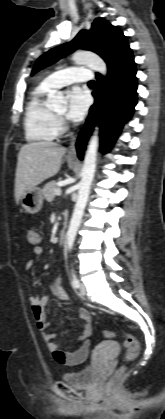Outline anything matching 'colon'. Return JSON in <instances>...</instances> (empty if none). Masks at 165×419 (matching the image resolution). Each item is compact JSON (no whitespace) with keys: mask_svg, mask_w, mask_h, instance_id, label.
Here are the masks:
<instances>
[{"mask_svg":"<svg viewBox=\"0 0 165 419\" xmlns=\"http://www.w3.org/2000/svg\"><path fill=\"white\" fill-rule=\"evenodd\" d=\"M31 240L33 242H35L37 240L36 236L32 235ZM103 335L106 338L113 337V333L109 330H104ZM124 347H125V355H124L125 362H130V361L134 360L137 357V355L139 354L140 345H139L138 341L135 339V337L131 334H126L125 335ZM122 371H123V367L119 368L115 372V374L111 377V379H110V384L111 385L115 384L118 381V379L121 376Z\"/></svg>","mask_w":165,"mask_h":419,"instance_id":"colon-1","label":"colon"}]
</instances>
